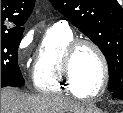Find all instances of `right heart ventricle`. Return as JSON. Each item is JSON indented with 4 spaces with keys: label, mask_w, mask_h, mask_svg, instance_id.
<instances>
[{
    "label": "right heart ventricle",
    "mask_w": 123,
    "mask_h": 113,
    "mask_svg": "<svg viewBox=\"0 0 123 113\" xmlns=\"http://www.w3.org/2000/svg\"><path fill=\"white\" fill-rule=\"evenodd\" d=\"M74 39L68 27L54 25L45 32L33 65L32 79L36 90L49 94L67 91L82 97L70 88L62 72L65 50Z\"/></svg>",
    "instance_id": "1"
}]
</instances>
